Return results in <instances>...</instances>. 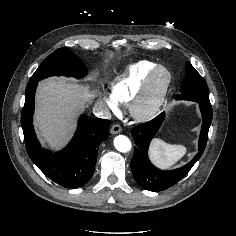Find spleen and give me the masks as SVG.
<instances>
[{"label":"spleen","instance_id":"obj_1","mask_svg":"<svg viewBox=\"0 0 236 236\" xmlns=\"http://www.w3.org/2000/svg\"><path fill=\"white\" fill-rule=\"evenodd\" d=\"M149 153L156 165L161 168H168L186 154V147L168 144L161 139L155 138L151 142Z\"/></svg>","mask_w":236,"mask_h":236}]
</instances>
